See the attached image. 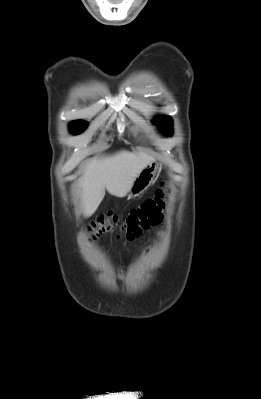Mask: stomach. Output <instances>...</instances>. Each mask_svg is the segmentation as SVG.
Segmentation results:
<instances>
[{
	"instance_id": "0dacf381",
	"label": "stomach",
	"mask_w": 261,
	"mask_h": 399,
	"mask_svg": "<svg viewBox=\"0 0 261 399\" xmlns=\"http://www.w3.org/2000/svg\"><path fill=\"white\" fill-rule=\"evenodd\" d=\"M158 165L155 162L148 164L136 177L129 191L130 197L142 194L154 181Z\"/></svg>"
}]
</instances>
